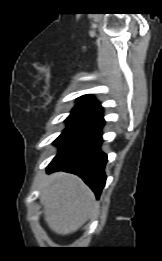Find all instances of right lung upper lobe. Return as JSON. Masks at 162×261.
<instances>
[{
    "mask_svg": "<svg viewBox=\"0 0 162 261\" xmlns=\"http://www.w3.org/2000/svg\"><path fill=\"white\" fill-rule=\"evenodd\" d=\"M82 98H86V99L95 101L90 95H85V96H83ZM95 102H97V101H95Z\"/></svg>",
    "mask_w": 162,
    "mask_h": 261,
    "instance_id": "1",
    "label": "right lung upper lobe"
}]
</instances>
